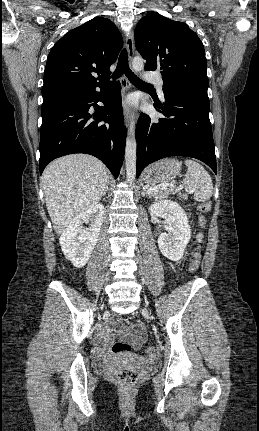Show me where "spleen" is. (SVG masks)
Segmentation results:
<instances>
[{"label": "spleen", "mask_w": 259, "mask_h": 431, "mask_svg": "<svg viewBox=\"0 0 259 431\" xmlns=\"http://www.w3.org/2000/svg\"><path fill=\"white\" fill-rule=\"evenodd\" d=\"M188 167L183 186L186 191L194 192V199L198 202L208 201L213 194V183L208 171L198 162L186 159Z\"/></svg>", "instance_id": "spleen-1"}]
</instances>
